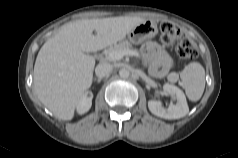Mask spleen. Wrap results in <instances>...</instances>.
<instances>
[{
  "label": "spleen",
  "instance_id": "1",
  "mask_svg": "<svg viewBox=\"0 0 238 158\" xmlns=\"http://www.w3.org/2000/svg\"><path fill=\"white\" fill-rule=\"evenodd\" d=\"M182 85L191 101H198L205 89V70L200 63L188 64L180 73Z\"/></svg>",
  "mask_w": 238,
  "mask_h": 158
}]
</instances>
